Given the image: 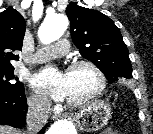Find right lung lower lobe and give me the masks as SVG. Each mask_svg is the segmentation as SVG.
I'll return each instance as SVG.
<instances>
[{"label":"right lung lower lobe","instance_id":"right-lung-lower-lobe-1","mask_svg":"<svg viewBox=\"0 0 153 134\" xmlns=\"http://www.w3.org/2000/svg\"><path fill=\"white\" fill-rule=\"evenodd\" d=\"M27 110L24 90L18 93L0 90V124L20 128L25 123ZM45 127L40 131L44 133Z\"/></svg>","mask_w":153,"mask_h":134}]
</instances>
